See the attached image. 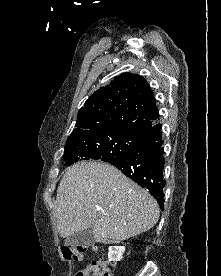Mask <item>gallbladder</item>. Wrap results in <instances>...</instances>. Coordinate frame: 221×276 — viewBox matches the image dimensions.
Wrapping results in <instances>:
<instances>
[{
  "mask_svg": "<svg viewBox=\"0 0 221 276\" xmlns=\"http://www.w3.org/2000/svg\"><path fill=\"white\" fill-rule=\"evenodd\" d=\"M94 243L95 239L93 237L91 229H85L82 231L75 232L65 239V245L69 247H88L94 245Z\"/></svg>",
  "mask_w": 221,
  "mask_h": 276,
  "instance_id": "gallbladder-1",
  "label": "gallbladder"
}]
</instances>
